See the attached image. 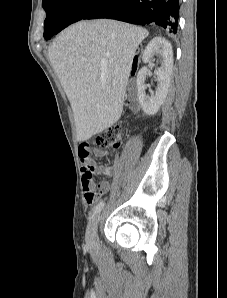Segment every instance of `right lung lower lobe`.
Listing matches in <instances>:
<instances>
[{
  "instance_id": "right-lung-lower-lobe-1",
  "label": "right lung lower lobe",
  "mask_w": 227,
  "mask_h": 298,
  "mask_svg": "<svg viewBox=\"0 0 227 298\" xmlns=\"http://www.w3.org/2000/svg\"><path fill=\"white\" fill-rule=\"evenodd\" d=\"M179 0H101L82 19L109 18L137 25L155 23L177 32Z\"/></svg>"
}]
</instances>
